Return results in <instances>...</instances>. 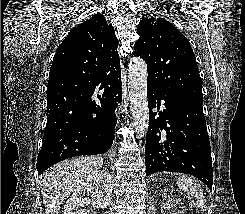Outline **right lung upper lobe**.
<instances>
[{
    "label": "right lung upper lobe",
    "mask_w": 245,
    "mask_h": 214,
    "mask_svg": "<svg viewBox=\"0 0 245 214\" xmlns=\"http://www.w3.org/2000/svg\"><path fill=\"white\" fill-rule=\"evenodd\" d=\"M117 47L114 28L100 13L74 27L54 55L47 96L86 97L97 79L120 72Z\"/></svg>",
    "instance_id": "cb5924a9"
}]
</instances>
